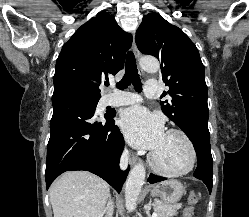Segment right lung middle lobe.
<instances>
[{
    "label": "right lung middle lobe",
    "instance_id": "1",
    "mask_svg": "<svg viewBox=\"0 0 249 217\" xmlns=\"http://www.w3.org/2000/svg\"><path fill=\"white\" fill-rule=\"evenodd\" d=\"M59 95L71 96L76 99L82 100L94 109L96 108L97 103L100 99V97H93V96L85 95V94L78 93V92H64Z\"/></svg>",
    "mask_w": 249,
    "mask_h": 217
}]
</instances>
